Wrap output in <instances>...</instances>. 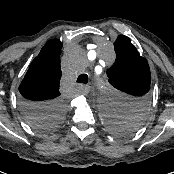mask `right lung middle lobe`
<instances>
[{
  "instance_id": "obj_1",
  "label": "right lung middle lobe",
  "mask_w": 174,
  "mask_h": 174,
  "mask_svg": "<svg viewBox=\"0 0 174 174\" xmlns=\"http://www.w3.org/2000/svg\"><path fill=\"white\" fill-rule=\"evenodd\" d=\"M65 106L61 102L54 103L48 108L26 115L30 124L39 130H50L57 127L63 120Z\"/></svg>"
}]
</instances>
